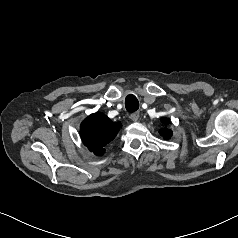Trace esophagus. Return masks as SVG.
Instances as JSON below:
<instances>
[{
	"mask_svg": "<svg viewBox=\"0 0 238 238\" xmlns=\"http://www.w3.org/2000/svg\"><path fill=\"white\" fill-rule=\"evenodd\" d=\"M139 112H135V113H132L131 115H130V118H131V120L132 121H134V122H137L138 121V119H139Z\"/></svg>",
	"mask_w": 238,
	"mask_h": 238,
	"instance_id": "34e87169",
	"label": "esophagus"
}]
</instances>
